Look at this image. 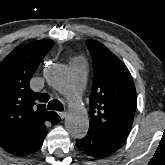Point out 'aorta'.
Wrapping results in <instances>:
<instances>
[{
    "label": "aorta",
    "instance_id": "1",
    "mask_svg": "<svg viewBox=\"0 0 165 165\" xmlns=\"http://www.w3.org/2000/svg\"><path fill=\"white\" fill-rule=\"evenodd\" d=\"M44 76L49 84L62 91L69 99L70 113L65 120L66 130L74 138H83L89 128L88 114L80 103L73 100L69 92L65 67L51 64L45 69Z\"/></svg>",
    "mask_w": 165,
    "mask_h": 165
}]
</instances>
